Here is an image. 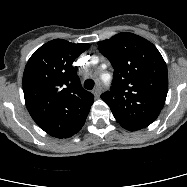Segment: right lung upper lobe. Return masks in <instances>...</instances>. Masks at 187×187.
<instances>
[{"label": "right lung upper lobe", "instance_id": "right-lung-upper-lobe-1", "mask_svg": "<svg viewBox=\"0 0 187 187\" xmlns=\"http://www.w3.org/2000/svg\"><path fill=\"white\" fill-rule=\"evenodd\" d=\"M89 44L55 39L41 46L28 60L23 74L26 107L46 133L68 138L84 125L92 93L83 89L72 63Z\"/></svg>", "mask_w": 187, "mask_h": 187}]
</instances>
